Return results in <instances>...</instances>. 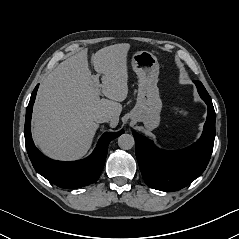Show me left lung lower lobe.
<instances>
[{
  "label": "left lung lower lobe",
  "instance_id": "obj_1",
  "mask_svg": "<svg viewBox=\"0 0 239 239\" xmlns=\"http://www.w3.org/2000/svg\"><path fill=\"white\" fill-rule=\"evenodd\" d=\"M208 106L201 138L191 146L176 151L156 149L153 142L135 131V149L145 183L161 191H177L189 185L205 170L214 145L215 111L212 100L200 81H193Z\"/></svg>",
  "mask_w": 239,
  "mask_h": 239
}]
</instances>
